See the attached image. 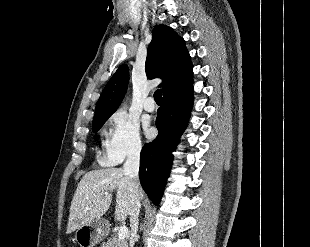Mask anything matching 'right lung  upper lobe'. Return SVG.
<instances>
[{"instance_id": "obj_1", "label": "right lung upper lobe", "mask_w": 310, "mask_h": 247, "mask_svg": "<svg viewBox=\"0 0 310 247\" xmlns=\"http://www.w3.org/2000/svg\"><path fill=\"white\" fill-rule=\"evenodd\" d=\"M145 70L149 79L162 78L159 85L163 96L189 85L192 80V63L184 40L172 28L160 24L153 30L148 46ZM129 80L127 65H121L105 86L96 104L93 122L110 117L120 105Z\"/></svg>"}]
</instances>
